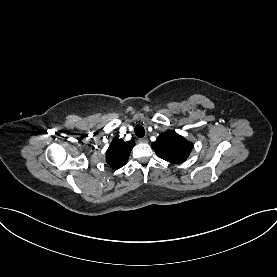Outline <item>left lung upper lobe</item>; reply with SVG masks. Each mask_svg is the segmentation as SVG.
<instances>
[{
	"label": "left lung upper lobe",
	"mask_w": 277,
	"mask_h": 277,
	"mask_svg": "<svg viewBox=\"0 0 277 277\" xmlns=\"http://www.w3.org/2000/svg\"><path fill=\"white\" fill-rule=\"evenodd\" d=\"M192 147L191 142L177 134L174 130H168L161 134L157 140L152 143V149L157 156L170 163L184 162L188 158Z\"/></svg>",
	"instance_id": "5c2ea615"
}]
</instances>
